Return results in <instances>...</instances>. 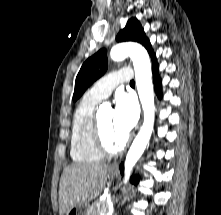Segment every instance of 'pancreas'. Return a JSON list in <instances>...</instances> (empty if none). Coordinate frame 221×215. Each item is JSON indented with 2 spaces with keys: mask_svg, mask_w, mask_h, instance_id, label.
Here are the masks:
<instances>
[{
  "mask_svg": "<svg viewBox=\"0 0 221 215\" xmlns=\"http://www.w3.org/2000/svg\"><path fill=\"white\" fill-rule=\"evenodd\" d=\"M107 210L108 202L106 200H98L89 207L87 215H106Z\"/></svg>",
  "mask_w": 221,
  "mask_h": 215,
  "instance_id": "obj_1",
  "label": "pancreas"
}]
</instances>
